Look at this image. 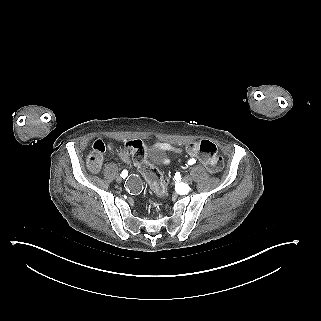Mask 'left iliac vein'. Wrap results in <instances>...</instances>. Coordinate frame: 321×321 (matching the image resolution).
<instances>
[{
	"label": "left iliac vein",
	"instance_id": "obj_1",
	"mask_svg": "<svg viewBox=\"0 0 321 321\" xmlns=\"http://www.w3.org/2000/svg\"><path fill=\"white\" fill-rule=\"evenodd\" d=\"M184 183L186 184H190L192 182V177L191 175H186L183 177V180H182Z\"/></svg>",
	"mask_w": 321,
	"mask_h": 321
}]
</instances>
